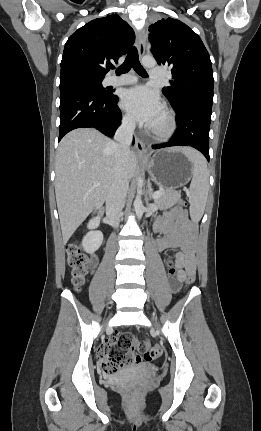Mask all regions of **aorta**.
Segmentation results:
<instances>
[{
  "label": "aorta",
  "instance_id": "obj_1",
  "mask_svg": "<svg viewBox=\"0 0 261 431\" xmlns=\"http://www.w3.org/2000/svg\"><path fill=\"white\" fill-rule=\"evenodd\" d=\"M142 64L147 68H153L156 65V61L152 56H145L142 58ZM138 182H141V178L138 179ZM140 193L141 191L137 190V196L134 201L135 212L139 219L142 217L144 212V206L142 204Z\"/></svg>",
  "mask_w": 261,
  "mask_h": 431
}]
</instances>
